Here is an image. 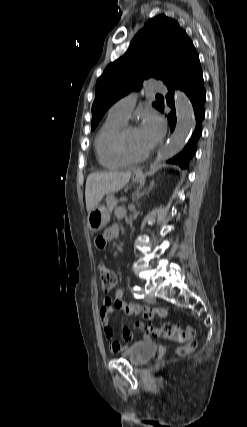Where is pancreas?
<instances>
[{
    "mask_svg": "<svg viewBox=\"0 0 247 427\" xmlns=\"http://www.w3.org/2000/svg\"><path fill=\"white\" fill-rule=\"evenodd\" d=\"M106 203L109 211H112L118 204V200L113 195H108Z\"/></svg>",
    "mask_w": 247,
    "mask_h": 427,
    "instance_id": "obj_1",
    "label": "pancreas"
}]
</instances>
